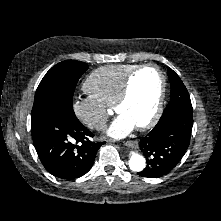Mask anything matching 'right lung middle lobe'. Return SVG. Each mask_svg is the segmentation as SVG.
I'll list each match as a JSON object with an SVG mask.
<instances>
[{
	"instance_id": "right-lung-middle-lobe-1",
	"label": "right lung middle lobe",
	"mask_w": 221,
	"mask_h": 221,
	"mask_svg": "<svg viewBox=\"0 0 221 221\" xmlns=\"http://www.w3.org/2000/svg\"><path fill=\"white\" fill-rule=\"evenodd\" d=\"M88 69L84 62L66 60L52 67L41 80L34 98L31 120L52 109L73 111L72 99L79 78Z\"/></svg>"
}]
</instances>
